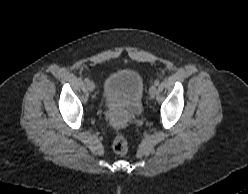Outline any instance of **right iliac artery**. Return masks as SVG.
Listing matches in <instances>:
<instances>
[{"instance_id":"1","label":"right iliac artery","mask_w":248,"mask_h":194,"mask_svg":"<svg viewBox=\"0 0 248 194\" xmlns=\"http://www.w3.org/2000/svg\"><path fill=\"white\" fill-rule=\"evenodd\" d=\"M84 82H85V83H88V82H89V79H88V78H85V79H84Z\"/></svg>"}]
</instances>
